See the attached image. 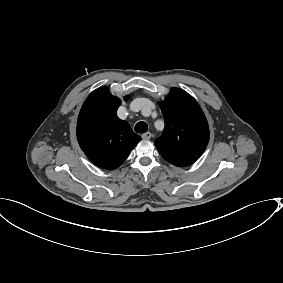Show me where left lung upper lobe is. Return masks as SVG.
<instances>
[{
  "instance_id": "5c2ea615",
  "label": "left lung upper lobe",
  "mask_w": 283,
  "mask_h": 283,
  "mask_svg": "<svg viewBox=\"0 0 283 283\" xmlns=\"http://www.w3.org/2000/svg\"><path fill=\"white\" fill-rule=\"evenodd\" d=\"M165 119L162 135L155 146L169 163L186 167L199 159L209 141L206 117L196 100L180 88L173 87L159 103Z\"/></svg>"
}]
</instances>
